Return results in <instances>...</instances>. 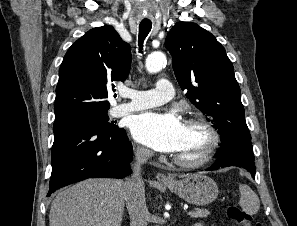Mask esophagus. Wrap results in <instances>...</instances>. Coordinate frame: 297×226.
<instances>
[{
  "label": "esophagus",
  "instance_id": "1",
  "mask_svg": "<svg viewBox=\"0 0 297 226\" xmlns=\"http://www.w3.org/2000/svg\"><path fill=\"white\" fill-rule=\"evenodd\" d=\"M156 179L159 182H169V181H172V179L170 177H168L167 175H165L163 173H157L156 174Z\"/></svg>",
  "mask_w": 297,
  "mask_h": 226
}]
</instances>
